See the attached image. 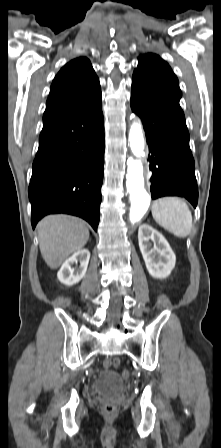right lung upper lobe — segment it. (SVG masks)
Returning <instances> with one entry per match:
<instances>
[{
    "label": "right lung upper lobe",
    "mask_w": 221,
    "mask_h": 448,
    "mask_svg": "<svg viewBox=\"0 0 221 448\" xmlns=\"http://www.w3.org/2000/svg\"><path fill=\"white\" fill-rule=\"evenodd\" d=\"M101 95L99 79L90 61L79 57L55 76L46 102L43 124L73 111Z\"/></svg>",
    "instance_id": "cb5924a9"
}]
</instances>
